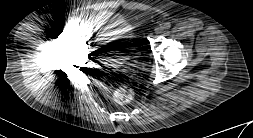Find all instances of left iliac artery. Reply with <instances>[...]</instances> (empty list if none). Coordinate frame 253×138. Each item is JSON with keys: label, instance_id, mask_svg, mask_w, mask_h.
<instances>
[{"label": "left iliac artery", "instance_id": "44dca946", "mask_svg": "<svg viewBox=\"0 0 253 138\" xmlns=\"http://www.w3.org/2000/svg\"><path fill=\"white\" fill-rule=\"evenodd\" d=\"M171 27V24L169 22L165 23L164 28L169 29Z\"/></svg>", "mask_w": 253, "mask_h": 138}]
</instances>
